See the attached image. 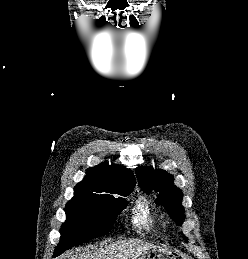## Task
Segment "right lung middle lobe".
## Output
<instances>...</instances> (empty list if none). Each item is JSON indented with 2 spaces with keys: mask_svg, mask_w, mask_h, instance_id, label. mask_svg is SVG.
<instances>
[{
  "mask_svg": "<svg viewBox=\"0 0 248 259\" xmlns=\"http://www.w3.org/2000/svg\"><path fill=\"white\" fill-rule=\"evenodd\" d=\"M132 190L115 194L75 192L66 204V222L62 225L60 243L54 256L93 238L108 233L117 216L126 207L127 201L120 196H128Z\"/></svg>",
  "mask_w": 248,
  "mask_h": 259,
  "instance_id": "dd1d6c3e",
  "label": "right lung middle lobe"
}]
</instances>
